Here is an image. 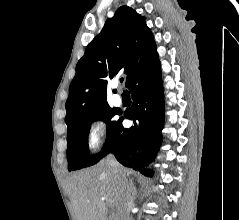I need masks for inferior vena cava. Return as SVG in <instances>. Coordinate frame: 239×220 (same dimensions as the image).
<instances>
[{"label": "inferior vena cava", "instance_id": "1", "mask_svg": "<svg viewBox=\"0 0 239 220\" xmlns=\"http://www.w3.org/2000/svg\"><path fill=\"white\" fill-rule=\"evenodd\" d=\"M106 163L120 177V187L122 194V205L120 208L121 220H132L130 212L134 207L133 198L131 197V187L127 184L126 179L122 175V168L114 155L109 154L106 158Z\"/></svg>", "mask_w": 239, "mask_h": 220}]
</instances>
